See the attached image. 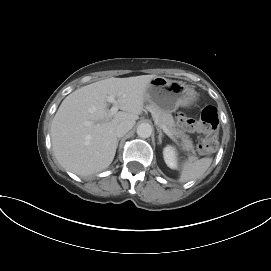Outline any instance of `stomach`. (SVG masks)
Here are the masks:
<instances>
[{
  "label": "stomach",
  "mask_w": 271,
  "mask_h": 271,
  "mask_svg": "<svg viewBox=\"0 0 271 271\" xmlns=\"http://www.w3.org/2000/svg\"><path fill=\"white\" fill-rule=\"evenodd\" d=\"M145 100L170 113L179 107H189L196 103L198 93L189 85L157 76L148 84Z\"/></svg>",
  "instance_id": "1"
}]
</instances>
